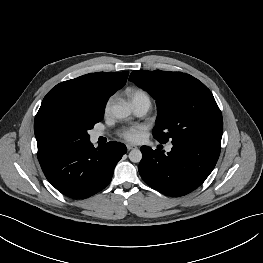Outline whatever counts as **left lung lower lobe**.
<instances>
[{"label": "left lung lower lobe", "instance_id": "obj_1", "mask_svg": "<svg viewBox=\"0 0 263 263\" xmlns=\"http://www.w3.org/2000/svg\"><path fill=\"white\" fill-rule=\"evenodd\" d=\"M167 154L143 146L138 170L152 188L172 197L186 195L212 172L220 155L221 141L174 142Z\"/></svg>", "mask_w": 263, "mask_h": 263}]
</instances>
